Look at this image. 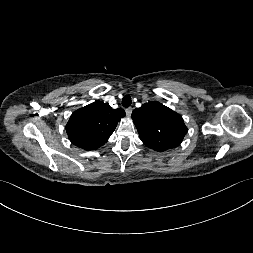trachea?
Masks as SVG:
<instances>
[{
    "mask_svg": "<svg viewBox=\"0 0 253 253\" xmlns=\"http://www.w3.org/2000/svg\"><path fill=\"white\" fill-rule=\"evenodd\" d=\"M131 102H132L131 97L129 95H126L122 99V106L127 108L131 105Z\"/></svg>",
    "mask_w": 253,
    "mask_h": 253,
    "instance_id": "3493384b",
    "label": "trachea"
}]
</instances>
